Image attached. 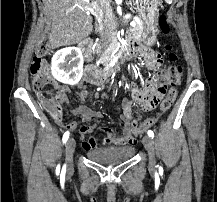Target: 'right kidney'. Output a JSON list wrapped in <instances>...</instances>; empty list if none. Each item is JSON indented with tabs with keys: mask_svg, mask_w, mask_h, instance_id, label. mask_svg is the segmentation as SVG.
Listing matches in <instances>:
<instances>
[{
	"mask_svg": "<svg viewBox=\"0 0 217 202\" xmlns=\"http://www.w3.org/2000/svg\"><path fill=\"white\" fill-rule=\"evenodd\" d=\"M83 56L79 48L58 50L52 58V74L63 84L75 86L83 76Z\"/></svg>",
	"mask_w": 217,
	"mask_h": 202,
	"instance_id": "ca27d5eb",
	"label": "right kidney"
}]
</instances>
